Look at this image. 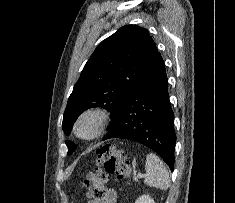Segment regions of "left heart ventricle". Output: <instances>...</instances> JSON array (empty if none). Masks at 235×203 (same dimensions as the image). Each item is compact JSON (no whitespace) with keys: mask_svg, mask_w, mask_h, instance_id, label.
<instances>
[{"mask_svg":"<svg viewBox=\"0 0 235 203\" xmlns=\"http://www.w3.org/2000/svg\"><path fill=\"white\" fill-rule=\"evenodd\" d=\"M93 130V122L91 120L84 121L80 126V132L83 135H88Z\"/></svg>","mask_w":235,"mask_h":203,"instance_id":"1","label":"left heart ventricle"}]
</instances>
